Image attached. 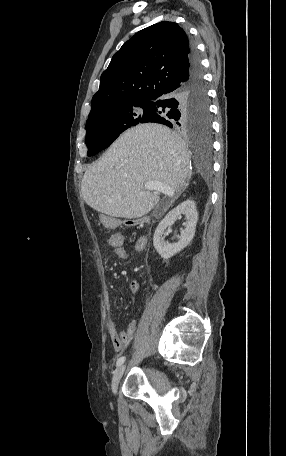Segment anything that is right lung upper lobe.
<instances>
[{
    "label": "right lung upper lobe",
    "mask_w": 286,
    "mask_h": 456,
    "mask_svg": "<svg viewBox=\"0 0 286 456\" xmlns=\"http://www.w3.org/2000/svg\"><path fill=\"white\" fill-rule=\"evenodd\" d=\"M193 45L174 22L163 21L136 33L112 57L92 98L89 117L132 99L151 100L186 78Z\"/></svg>",
    "instance_id": "1"
}]
</instances>
